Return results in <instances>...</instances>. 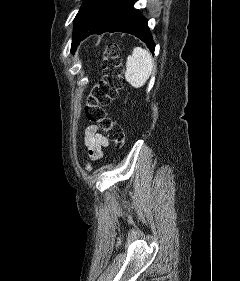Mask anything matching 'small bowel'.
<instances>
[{"label": "small bowel", "instance_id": "1", "mask_svg": "<svg viewBox=\"0 0 240 281\" xmlns=\"http://www.w3.org/2000/svg\"><path fill=\"white\" fill-rule=\"evenodd\" d=\"M84 143L91 161L101 159L103 148L109 145L108 139L99 131L96 125H89L86 128Z\"/></svg>", "mask_w": 240, "mask_h": 281}]
</instances>
